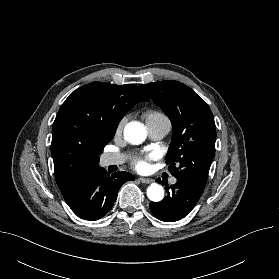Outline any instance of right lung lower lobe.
Masks as SVG:
<instances>
[{"label":"right lung lower lobe","mask_w":279,"mask_h":279,"mask_svg":"<svg viewBox=\"0 0 279 279\" xmlns=\"http://www.w3.org/2000/svg\"><path fill=\"white\" fill-rule=\"evenodd\" d=\"M133 180L134 176L127 172H117L109 176L104 168L97 166L85 176L67 204L78 217L98 220L112 208L120 187Z\"/></svg>","instance_id":"98d812e1"}]
</instances>
